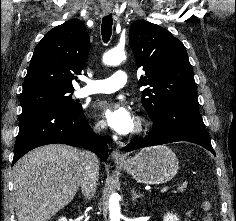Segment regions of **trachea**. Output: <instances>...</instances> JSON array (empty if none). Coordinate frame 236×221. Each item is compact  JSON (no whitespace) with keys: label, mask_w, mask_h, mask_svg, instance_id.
Returning a JSON list of instances; mask_svg holds the SVG:
<instances>
[{"label":"trachea","mask_w":236,"mask_h":221,"mask_svg":"<svg viewBox=\"0 0 236 221\" xmlns=\"http://www.w3.org/2000/svg\"><path fill=\"white\" fill-rule=\"evenodd\" d=\"M112 24H113V19L111 14L103 17L101 25V34L103 37V41L105 43H107L110 40L112 34Z\"/></svg>","instance_id":"3493384b"}]
</instances>
